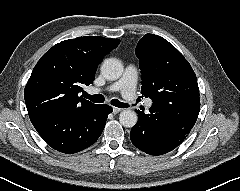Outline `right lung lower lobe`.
I'll return each instance as SVG.
<instances>
[{
  "label": "right lung lower lobe",
  "mask_w": 240,
  "mask_h": 191,
  "mask_svg": "<svg viewBox=\"0 0 240 191\" xmlns=\"http://www.w3.org/2000/svg\"><path fill=\"white\" fill-rule=\"evenodd\" d=\"M111 112L108 105H93L79 111H52L31 122L49 146L59 152L73 154L97 141Z\"/></svg>",
  "instance_id": "obj_1"
}]
</instances>
